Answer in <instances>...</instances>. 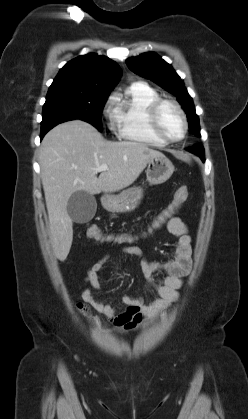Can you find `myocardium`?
Masks as SVG:
<instances>
[{"label": "myocardium", "instance_id": "obj_1", "mask_svg": "<svg viewBox=\"0 0 248 419\" xmlns=\"http://www.w3.org/2000/svg\"><path fill=\"white\" fill-rule=\"evenodd\" d=\"M164 104H169L171 106H173L177 112L179 113L182 122H183V132L181 134V136L177 139H171L169 137H167L160 129L159 126V121H158V113L159 110L161 108L162 105ZM147 121H148V126L151 130V132L160 140H162L163 142L167 143V144H171V143H177L182 141L188 131V121H187V117L186 114L184 112V110L182 109V107L179 105V103H177L174 100L171 99H165V98H158L154 101H152L150 103V105L148 106L147 109Z\"/></svg>", "mask_w": 248, "mask_h": 419}]
</instances>
